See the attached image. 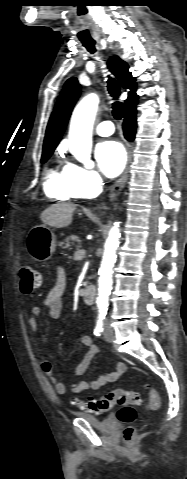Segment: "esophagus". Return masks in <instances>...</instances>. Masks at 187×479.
<instances>
[{
	"mask_svg": "<svg viewBox=\"0 0 187 479\" xmlns=\"http://www.w3.org/2000/svg\"><path fill=\"white\" fill-rule=\"evenodd\" d=\"M127 156H128L127 165H126L121 177L112 186L110 196H109V202H112L118 196V194L120 193L122 188L125 186V183L127 182L128 173H129V165H130L131 159H132V151H131L130 146L127 147ZM106 207H107V204L103 203L99 208H106Z\"/></svg>",
	"mask_w": 187,
	"mask_h": 479,
	"instance_id": "1",
	"label": "esophagus"
}]
</instances>
